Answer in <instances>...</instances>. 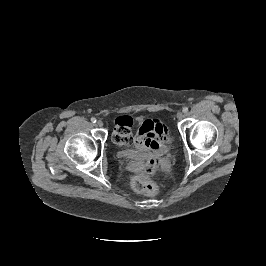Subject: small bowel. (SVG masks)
Masks as SVG:
<instances>
[{
  "label": "small bowel",
  "mask_w": 266,
  "mask_h": 266,
  "mask_svg": "<svg viewBox=\"0 0 266 266\" xmlns=\"http://www.w3.org/2000/svg\"><path fill=\"white\" fill-rule=\"evenodd\" d=\"M133 120L129 116H120L115 120L113 139L119 145H133L145 160V165L140 161L131 164V170L139 172L144 170L151 173L157 167L164 152V145L167 141L166 126L157 119L143 121L135 135L131 127Z\"/></svg>",
  "instance_id": "1"
}]
</instances>
